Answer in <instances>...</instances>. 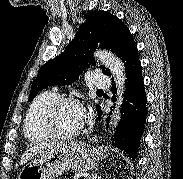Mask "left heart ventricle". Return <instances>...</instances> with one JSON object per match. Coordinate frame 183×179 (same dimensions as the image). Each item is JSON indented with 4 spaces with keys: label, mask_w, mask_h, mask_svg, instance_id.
I'll use <instances>...</instances> for the list:
<instances>
[{
    "label": "left heart ventricle",
    "mask_w": 183,
    "mask_h": 179,
    "mask_svg": "<svg viewBox=\"0 0 183 179\" xmlns=\"http://www.w3.org/2000/svg\"><path fill=\"white\" fill-rule=\"evenodd\" d=\"M84 121L81 108L73 104L62 105L54 116V127L61 133H70L77 130Z\"/></svg>",
    "instance_id": "left-heart-ventricle-1"
}]
</instances>
